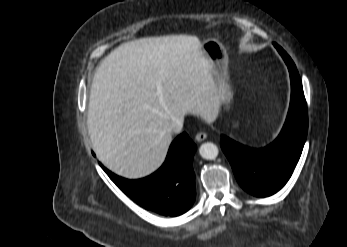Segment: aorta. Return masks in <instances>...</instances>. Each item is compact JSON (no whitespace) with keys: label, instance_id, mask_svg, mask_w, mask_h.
<instances>
[{"label":"aorta","instance_id":"aorta-1","mask_svg":"<svg viewBox=\"0 0 347 247\" xmlns=\"http://www.w3.org/2000/svg\"><path fill=\"white\" fill-rule=\"evenodd\" d=\"M199 153L204 159L214 160L218 156L219 150L216 144L206 142L200 146Z\"/></svg>","mask_w":347,"mask_h":247}]
</instances>
